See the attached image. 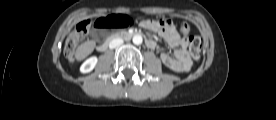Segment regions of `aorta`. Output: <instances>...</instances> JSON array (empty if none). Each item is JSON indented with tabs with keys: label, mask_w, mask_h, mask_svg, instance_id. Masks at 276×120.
I'll return each mask as SVG.
<instances>
[{
	"label": "aorta",
	"mask_w": 276,
	"mask_h": 120,
	"mask_svg": "<svg viewBox=\"0 0 276 120\" xmlns=\"http://www.w3.org/2000/svg\"><path fill=\"white\" fill-rule=\"evenodd\" d=\"M133 43L135 44V45H140V44H142V42H143V39H142V36L141 35H135V36H133Z\"/></svg>",
	"instance_id": "1"
}]
</instances>
